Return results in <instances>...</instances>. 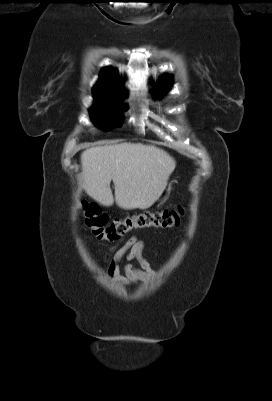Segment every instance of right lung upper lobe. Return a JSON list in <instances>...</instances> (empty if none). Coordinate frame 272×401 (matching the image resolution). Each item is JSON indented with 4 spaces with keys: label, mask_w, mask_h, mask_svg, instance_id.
I'll use <instances>...</instances> for the list:
<instances>
[{
    "label": "right lung upper lobe",
    "mask_w": 272,
    "mask_h": 401,
    "mask_svg": "<svg viewBox=\"0 0 272 401\" xmlns=\"http://www.w3.org/2000/svg\"><path fill=\"white\" fill-rule=\"evenodd\" d=\"M119 80L116 72H111L110 68H104L99 81L93 88L95 100L119 97L122 90L118 87Z\"/></svg>",
    "instance_id": "cb5924a9"
}]
</instances>
